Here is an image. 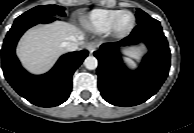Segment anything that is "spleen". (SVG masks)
Listing matches in <instances>:
<instances>
[{
  "instance_id": "3e777b00",
  "label": "spleen",
  "mask_w": 194,
  "mask_h": 133,
  "mask_svg": "<svg viewBox=\"0 0 194 133\" xmlns=\"http://www.w3.org/2000/svg\"><path fill=\"white\" fill-rule=\"evenodd\" d=\"M125 63L132 69L136 68V64L129 59H124Z\"/></svg>"
}]
</instances>
